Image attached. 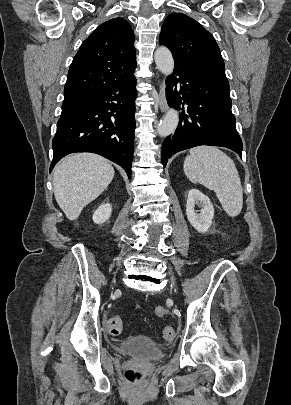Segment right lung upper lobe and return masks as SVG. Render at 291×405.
<instances>
[{
    "label": "right lung upper lobe",
    "mask_w": 291,
    "mask_h": 405,
    "mask_svg": "<svg viewBox=\"0 0 291 405\" xmlns=\"http://www.w3.org/2000/svg\"><path fill=\"white\" fill-rule=\"evenodd\" d=\"M134 32L122 18L110 19L82 43L69 68L63 104L82 103L126 80L136 68Z\"/></svg>",
    "instance_id": "obj_1"
}]
</instances>
